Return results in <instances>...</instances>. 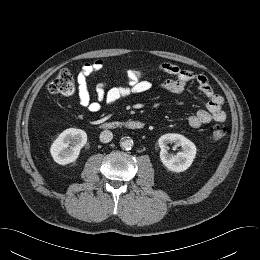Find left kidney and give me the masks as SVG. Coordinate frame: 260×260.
<instances>
[{"mask_svg": "<svg viewBox=\"0 0 260 260\" xmlns=\"http://www.w3.org/2000/svg\"><path fill=\"white\" fill-rule=\"evenodd\" d=\"M170 143H173L177 147H181L182 151L178 152L176 155L170 154L167 150V146ZM158 144L161 148V162L173 172H183L187 170L196 156V146L194 143L180 134H165L159 138Z\"/></svg>", "mask_w": 260, "mask_h": 260, "instance_id": "left-kidney-1", "label": "left kidney"}]
</instances>
